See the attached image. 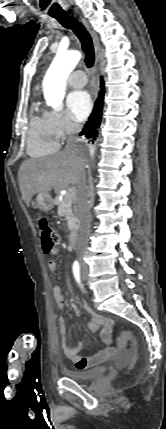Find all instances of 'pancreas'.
I'll return each mask as SVG.
<instances>
[{"label":"pancreas","mask_w":166,"mask_h":429,"mask_svg":"<svg viewBox=\"0 0 166 429\" xmlns=\"http://www.w3.org/2000/svg\"><path fill=\"white\" fill-rule=\"evenodd\" d=\"M77 209L74 205V199L67 198L65 195L61 201H58V215L65 216L68 228L71 232L75 231L78 227Z\"/></svg>","instance_id":"1"}]
</instances>
